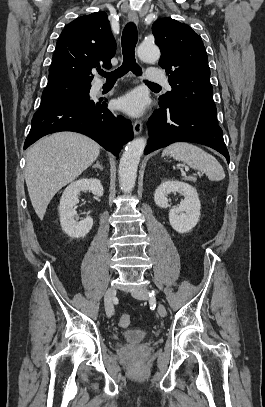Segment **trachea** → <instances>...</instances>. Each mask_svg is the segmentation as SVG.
I'll return each mask as SVG.
<instances>
[{
  "instance_id": "3493384b",
  "label": "trachea",
  "mask_w": 265,
  "mask_h": 407,
  "mask_svg": "<svg viewBox=\"0 0 265 407\" xmlns=\"http://www.w3.org/2000/svg\"><path fill=\"white\" fill-rule=\"evenodd\" d=\"M138 40L137 28L133 22H129L122 33V52H123V63L122 65L113 72H105L99 70L98 73L104 76L109 81H114L117 78L122 77L128 71H132L136 76L142 74V70L135 60V47ZM148 85L159 86L158 84L146 81Z\"/></svg>"
}]
</instances>
